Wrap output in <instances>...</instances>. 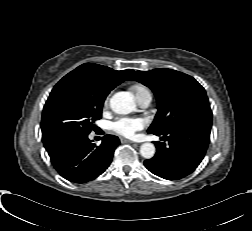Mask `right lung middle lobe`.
I'll return each instance as SVG.
<instances>
[{"mask_svg": "<svg viewBox=\"0 0 252 231\" xmlns=\"http://www.w3.org/2000/svg\"><path fill=\"white\" fill-rule=\"evenodd\" d=\"M108 92L78 78L60 80L43 109L41 129L46 150L57 143L95 130Z\"/></svg>", "mask_w": 252, "mask_h": 231, "instance_id": "1", "label": "right lung middle lobe"}]
</instances>
